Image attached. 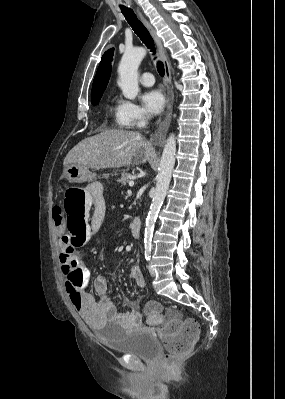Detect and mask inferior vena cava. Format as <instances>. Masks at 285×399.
Masks as SVG:
<instances>
[{"label":"inferior vena cava","instance_id":"1","mask_svg":"<svg viewBox=\"0 0 285 399\" xmlns=\"http://www.w3.org/2000/svg\"><path fill=\"white\" fill-rule=\"evenodd\" d=\"M146 124H147V118H146L145 115H142V116L140 117L139 121H138L137 126H138L139 128H143V127L146 126Z\"/></svg>","mask_w":285,"mask_h":399}]
</instances>
